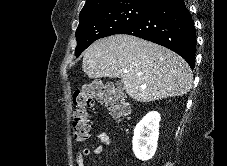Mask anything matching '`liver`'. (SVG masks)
Instances as JSON below:
<instances>
[{
	"instance_id": "liver-1",
	"label": "liver",
	"mask_w": 227,
	"mask_h": 166,
	"mask_svg": "<svg viewBox=\"0 0 227 166\" xmlns=\"http://www.w3.org/2000/svg\"><path fill=\"white\" fill-rule=\"evenodd\" d=\"M82 68L89 78H121L127 94L139 102L183 96L193 82L181 56L131 35L95 41L84 52Z\"/></svg>"
}]
</instances>
